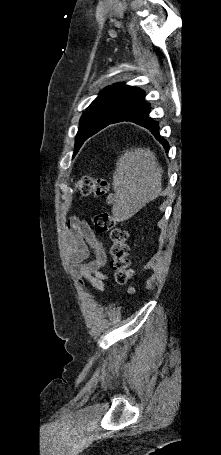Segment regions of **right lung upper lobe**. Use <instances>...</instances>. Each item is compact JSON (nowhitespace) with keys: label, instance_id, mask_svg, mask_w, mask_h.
<instances>
[{"label":"right lung upper lobe","instance_id":"obj_1","mask_svg":"<svg viewBox=\"0 0 221 455\" xmlns=\"http://www.w3.org/2000/svg\"><path fill=\"white\" fill-rule=\"evenodd\" d=\"M144 97L145 93L139 88L115 84L106 87L91 105H111L128 111L142 103Z\"/></svg>","mask_w":221,"mask_h":455}]
</instances>
